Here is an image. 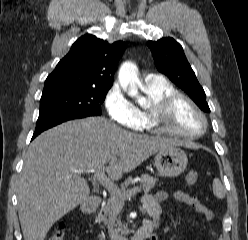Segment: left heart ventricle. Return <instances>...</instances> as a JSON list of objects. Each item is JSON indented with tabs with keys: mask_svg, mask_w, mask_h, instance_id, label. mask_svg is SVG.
Here are the masks:
<instances>
[{
	"mask_svg": "<svg viewBox=\"0 0 248 240\" xmlns=\"http://www.w3.org/2000/svg\"><path fill=\"white\" fill-rule=\"evenodd\" d=\"M168 125L180 132L193 134L203 129L204 123L193 107L184 100H179L173 107Z\"/></svg>",
	"mask_w": 248,
	"mask_h": 240,
	"instance_id": "obj_1",
	"label": "left heart ventricle"
}]
</instances>
